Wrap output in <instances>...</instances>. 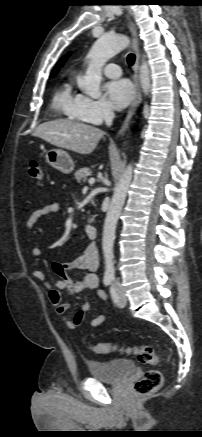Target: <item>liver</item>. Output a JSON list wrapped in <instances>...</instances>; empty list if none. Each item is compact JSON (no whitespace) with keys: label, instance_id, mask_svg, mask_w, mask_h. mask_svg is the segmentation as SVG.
<instances>
[{"label":"liver","instance_id":"liver-1","mask_svg":"<svg viewBox=\"0 0 202 437\" xmlns=\"http://www.w3.org/2000/svg\"><path fill=\"white\" fill-rule=\"evenodd\" d=\"M104 132L97 127L71 120H54L40 124L33 136L79 154H90Z\"/></svg>","mask_w":202,"mask_h":437}]
</instances>
